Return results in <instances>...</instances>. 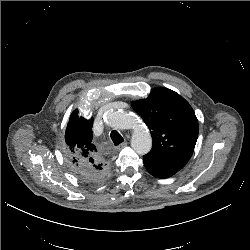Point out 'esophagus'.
I'll list each match as a JSON object with an SVG mask.
<instances>
[{
    "instance_id": "1",
    "label": "esophagus",
    "mask_w": 250,
    "mask_h": 250,
    "mask_svg": "<svg viewBox=\"0 0 250 250\" xmlns=\"http://www.w3.org/2000/svg\"><path fill=\"white\" fill-rule=\"evenodd\" d=\"M126 146H127V142H123L116 149H117V151H120L121 149H123Z\"/></svg>"
}]
</instances>
